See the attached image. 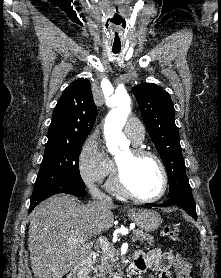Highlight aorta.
<instances>
[{"label": "aorta", "mask_w": 221, "mask_h": 278, "mask_svg": "<svg viewBox=\"0 0 221 278\" xmlns=\"http://www.w3.org/2000/svg\"><path fill=\"white\" fill-rule=\"evenodd\" d=\"M131 100L128 94L117 95L115 108L107 115L104 125V134L108 150L114 153L118 150L120 144L126 141L122 132L128 115L131 112Z\"/></svg>", "instance_id": "762f6f07"}]
</instances>
